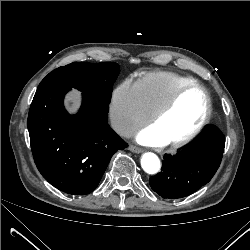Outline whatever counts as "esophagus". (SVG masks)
Masks as SVG:
<instances>
[{"label": "esophagus", "mask_w": 250, "mask_h": 250, "mask_svg": "<svg viewBox=\"0 0 250 250\" xmlns=\"http://www.w3.org/2000/svg\"><path fill=\"white\" fill-rule=\"evenodd\" d=\"M128 149L130 150V151H132L133 153H141L143 150L140 148V147H137V146H134V145H130L129 147H128Z\"/></svg>", "instance_id": "obj_1"}]
</instances>
